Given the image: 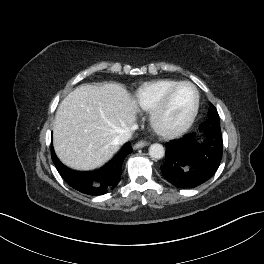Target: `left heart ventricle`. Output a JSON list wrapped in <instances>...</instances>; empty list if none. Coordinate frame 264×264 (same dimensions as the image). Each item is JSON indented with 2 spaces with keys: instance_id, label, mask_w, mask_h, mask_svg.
<instances>
[{
  "instance_id": "1",
  "label": "left heart ventricle",
  "mask_w": 264,
  "mask_h": 264,
  "mask_svg": "<svg viewBox=\"0 0 264 264\" xmlns=\"http://www.w3.org/2000/svg\"><path fill=\"white\" fill-rule=\"evenodd\" d=\"M193 102V89L187 85L179 87L173 93L171 100L160 119L161 123L168 127L181 124L189 115Z\"/></svg>"
}]
</instances>
